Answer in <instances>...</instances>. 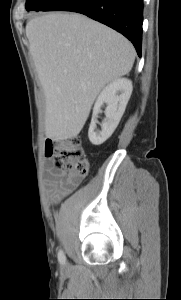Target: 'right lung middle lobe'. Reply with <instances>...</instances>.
Returning <instances> with one entry per match:
<instances>
[{"mask_svg": "<svg viewBox=\"0 0 181 300\" xmlns=\"http://www.w3.org/2000/svg\"><path fill=\"white\" fill-rule=\"evenodd\" d=\"M55 0H26L27 11H42Z\"/></svg>", "mask_w": 181, "mask_h": 300, "instance_id": "dd1d6c3e", "label": "right lung middle lobe"}]
</instances>
